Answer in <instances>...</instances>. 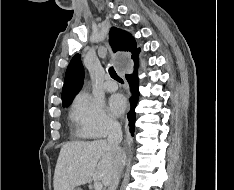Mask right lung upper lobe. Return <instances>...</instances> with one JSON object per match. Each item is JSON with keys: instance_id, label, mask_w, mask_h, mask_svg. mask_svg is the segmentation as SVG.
<instances>
[{"instance_id": "cb5924a9", "label": "right lung upper lobe", "mask_w": 234, "mask_h": 190, "mask_svg": "<svg viewBox=\"0 0 234 190\" xmlns=\"http://www.w3.org/2000/svg\"><path fill=\"white\" fill-rule=\"evenodd\" d=\"M109 42L114 52H130L131 58L136 59L140 49L136 48L134 38L128 32L112 27L109 32ZM84 68L81 57L76 54L69 63L65 74V81L62 89V104L72 102L75 95L82 88Z\"/></svg>"}]
</instances>
